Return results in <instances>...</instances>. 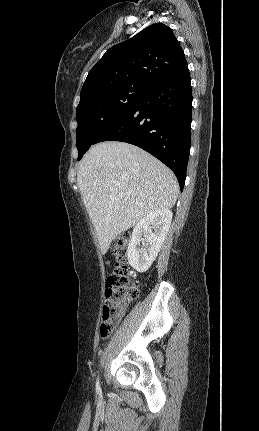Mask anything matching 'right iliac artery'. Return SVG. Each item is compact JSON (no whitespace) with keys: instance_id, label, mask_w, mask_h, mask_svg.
Here are the masks:
<instances>
[{"instance_id":"1","label":"right iliac artery","mask_w":259,"mask_h":431,"mask_svg":"<svg viewBox=\"0 0 259 431\" xmlns=\"http://www.w3.org/2000/svg\"><path fill=\"white\" fill-rule=\"evenodd\" d=\"M96 388H97V390H99V389H100L99 381H97Z\"/></svg>"}]
</instances>
